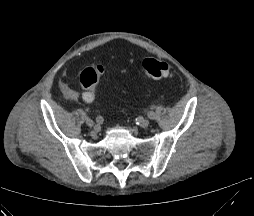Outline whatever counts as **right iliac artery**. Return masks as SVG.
Returning a JSON list of instances; mask_svg holds the SVG:
<instances>
[{"instance_id": "obj_1", "label": "right iliac artery", "mask_w": 254, "mask_h": 216, "mask_svg": "<svg viewBox=\"0 0 254 216\" xmlns=\"http://www.w3.org/2000/svg\"><path fill=\"white\" fill-rule=\"evenodd\" d=\"M103 117L102 116H97L96 117V122L98 123V124H102L103 123Z\"/></svg>"}]
</instances>
